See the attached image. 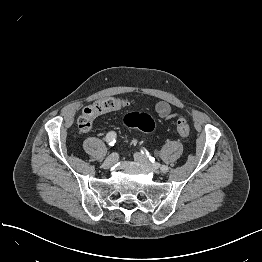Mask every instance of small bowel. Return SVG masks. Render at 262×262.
Returning <instances> with one entry per match:
<instances>
[{
    "instance_id": "c3829d8e",
    "label": "small bowel",
    "mask_w": 262,
    "mask_h": 262,
    "mask_svg": "<svg viewBox=\"0 0 262 262\" xmlns=\"http://www.w3.org/2000/svg\"><path fill=\"white\" fill-rule=\"evenodd\" d=\"M110 100L112 99L101 100L91 106L86 107L83 110L81 117L87 114L89 118L93 120L94 118H96L99 115L115 110V108H111L108 106V103ZM97 107H100L101 111H97L96 110ZM155 111L161 118H164V119L174 118L177 116V114L172 110L171 105L167 103L166 101H158L155 104ZM90 128L91 127L86 129L85 131H88Z\"/></svg>"
}]
</instances>
